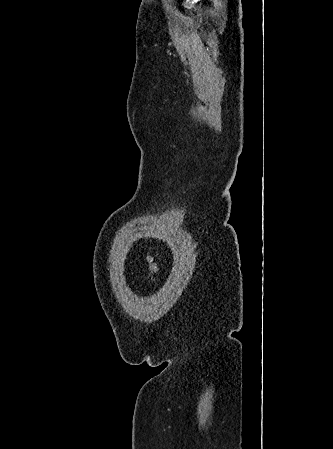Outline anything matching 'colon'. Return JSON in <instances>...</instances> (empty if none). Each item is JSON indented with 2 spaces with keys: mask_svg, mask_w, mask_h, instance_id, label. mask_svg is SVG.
Returning a JSON list of instances; mask_svg holds the SVG:
<instances>
[{
  "mask_svg": "<svg viewBox=\"0 0 333 449\" xmlns=\"http://www.w3.org/2000/svg\"><path fill=\"white\" fill-rule=\"evenodd\" d=\"M144 262L148 273V279L151 283H154L158 271L157 263L151 255H145Z\"/></svg>",
  "mask_w": 333,
  "mask_h": 449,
  "instance_id": "1",
  "label": "colon"
}]
</instances>
